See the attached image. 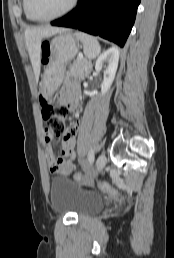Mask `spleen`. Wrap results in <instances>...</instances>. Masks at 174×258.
I'll list each match as a JSON object with an SVG mask.
<instances>
[{"instance_id":"1","label":"spleen","mask_w":174,"mask_h":258,"mask_svg":"<svg viewBox=\"0 0 174 258\" xmlns=\"http://www.w3.org/2000/svg\"><path fill=\"white\" fill-rule=\"evenodd\" d=\"M74 35L83 43V51L88 59L92 60L98 57L101 52V46L95 37L83 32H75Z\"/></svg>"}]
</instances>
